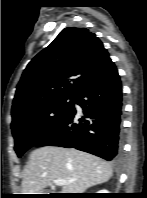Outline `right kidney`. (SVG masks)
<instances>
[{
  "instance_id": "ca27d5eb",
  "label": "right kidney",
  "mask_w": 147,
  "mask_h": 198,
  "mask_svg": "<svg viewBox=\"0 0 147 198\" xmlns=\"http://www.w3.org/2000/svg\"><path fill=\"white\" fill-rule=\"evenodd\" d=\"M97 193H109L106 189H102L101 191H97Z\"/></svg>"
}]
</instances>
